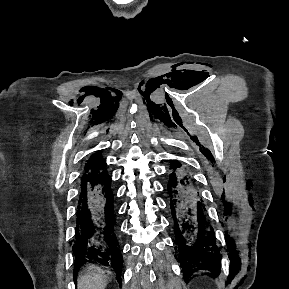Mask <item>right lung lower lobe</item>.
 Returning a JSON list of instances; mask_svg holds the SVG:
<instances>
[{"instance_id":"98d812e1","label":"right lung lower lobe","mask_w":289,"mask_h":289,"mask_svg":"<svg viewBox=\"0 0 289 289\" xmlns=\"http://www.w3.org/2000/svg\"><path fill=\"white\" fill-rule=\"evenodd\" d=\"M111 179L103 170L81 181L76 211V236L73 244L74 273L87 260L112 267L120 282L123 258L117 239V219Z\"/></svg>"}]
</instances>
